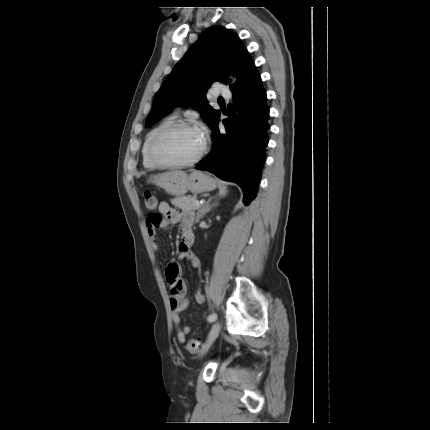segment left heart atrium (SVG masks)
I'll use <instances>...</instances> for the list:
<instances>
[{"instance_id":"obj_1","label":"left heart atrium","mask_w":430,"mask_h":430,"mask_svg":"<svg viewBox=\"0 0 430 430\" xmlns=\"http://www.w3.org/2000/svg\"><path fill=\"white\" fill-rule=\"evenodd\" d=\"M198 131L200 135L202 136L203 140H205L206 132L203 128H198Z\"/></svg>"}]
</instances>
